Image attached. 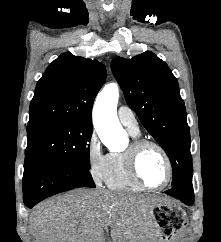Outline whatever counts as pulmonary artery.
<instances>
[{
    "label": "pulmonary artery",
    "instance_id": "e3ab8cb5",
    "mask_svg": "<svg viewBox=\"0 0 221 242\" xmlns=\"http://www.w3.org/2000/svg\"><path fill=\"white\" fill-rule=\"evenodd\" d=\"M118 118L123 126L132 133H139V125L133 111L127 106H120L117 111Z\"/></svg>",
    "mask_w": 221,
    "mask_h": 242
}]
</instances>
